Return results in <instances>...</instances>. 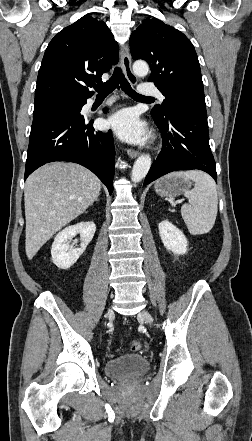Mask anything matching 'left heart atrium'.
<instances>
[{"label": "left heart atrium", "instance_id": "39dd6f15", "mask_svg": "<svg viewBox=\"0 0 252 441\" xmlns=\"http://www.w3.org/2000/svg\"><path fill=\"white\" fill-rule=\"evenodd\" d=\"M107 125L118 136L129 142L140 143L147 138L144 124L131 109L119 111L107 121Z\"/></svg>", "mask_w": 252, "mask_h": 441}]
</instances>
